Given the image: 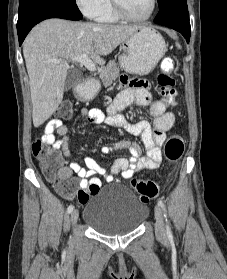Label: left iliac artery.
I'll return each instance as SVG.
<instances>
[{"label": "left iliac artery", "instance_id": "obj_1", "mask_svg": "<svg viewBox=\"0 0 227 279\" xmlns=\"http://www.w3.org/2000/svg\"><path fill=\"white\" fill-rule=\"evenodd\" d=\"M158 205H159L163 210H165V205H164V203H163L162 201H158ZM166 231H167V236L171 238V237H172V232H171V228H170L168 222H167V224H166Z\"/></svg>", "mask_w": 227, "mask_h": 279}]
</instances>
